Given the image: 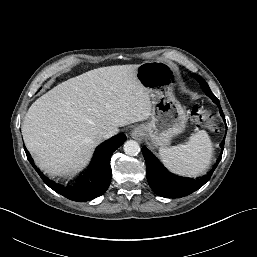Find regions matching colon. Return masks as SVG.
Segmentation results:
<instances>
[{
	"instance_id": "1",
	"label": "colon",
	"mask_w": 257,
	"mask_h": 257,
	"mask_svg": "<svg viewBox=\"0 0 257 257\" xmlns=\"http://www.w3.org/2000/svg\"><path fill=\"white\" fill-rule=\"evenodd\" d=\"M192 120L199 126H205L211 130L216 129V124L210 113L200 106H195L191 111Z\"/></svg>"
}]
</instances>
